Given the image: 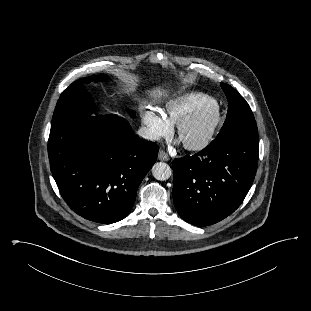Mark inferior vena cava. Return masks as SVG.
Returning <instances> with one entry per match:
<instances>
[{
  "instance_id": "inferior-vena-cava-1",
  "label": "inferior vena cava",
  "mask_w": 311,
  "mask_h": 311,
  "mask_svg": "<svg viewBox=\"0 0 311 311\" xmlns=\"http://www.w3.org/2000/svg\"><path fill=\"white\" fill-rule=\"evenodd\" d=\"M137 134L146 139V140H158V136L153 133V131L151 129H149L148 127H141L138 131H137Z\"/></svg>"
}]
</instances>
